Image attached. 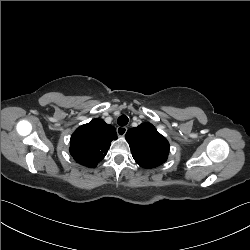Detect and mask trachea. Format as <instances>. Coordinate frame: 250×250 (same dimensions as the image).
I'll use <instances>...</instances> for the list:
<instances>
[{
	"label": "trachea",
	"instance_id": "1",
	"mask_svg": "<svg viewBox=\"0 0 250 250\" xmlns=\"http://www.w3.org/2000/svg\"><path fill=\"white\" fill-rule=\"evenodd\" d=\"M129 119L126 115H121L118 120L117 123L119 126H125L128 123Z\"/></svg>",
	"mask_w": 250,
	"mask_h": 250
}]
</instances>
